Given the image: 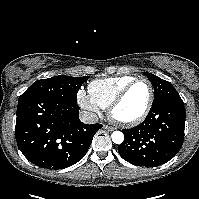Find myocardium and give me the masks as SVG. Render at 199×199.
<instances>
[{
  "instance_id": "1",
  "label": "myocardium",
  "mask_w": 199,
  "mask_h": 199,
  "mask_svg": "<svg viewBox=\"0 0 199 199\" xmlns=\"http://www.w3.org/2000/svg\"><path fill=\"white\" fill-rule=\"evenodd\" d=\"M146 82L149 86V98L147 101V104L143 110V112L136 118L130 119V120H120L118 118L115 117L114 115V111L115 109L122 103V101L124 100V98L126 97L127 93L129 92V90L138 82ZM153 101H154V87L153 84L151 83V81L146 78V77H137L134 78L131 82H129L122 90L121 92L115 97V99L111 102V104L108 106V115L110 117V119L112 121H114L115 123L119 124L120 126L123 127H131V126H135L139 123H141L149 114L152 105H153Z\"/></svg>"
}]
</instances>
